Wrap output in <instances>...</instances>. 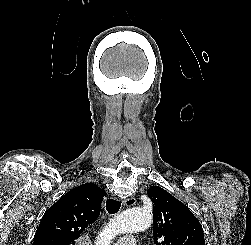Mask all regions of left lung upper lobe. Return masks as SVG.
<instances>
[{"mask_svg":"<svg viewBox=\"0 0 251 245\" xmlns=\"http://www.w3.org/2000/svg\"><path fill=\"white\" fill-rule=\"evenodd\" d=\"M154 203L153 238L156 245H205L201 224L189 208L164 190H148Z\"/></svg>","mask_w":251,"mask_h":245,"instance_id":"1","label":"left lung upper lobe"}]
</instances>
